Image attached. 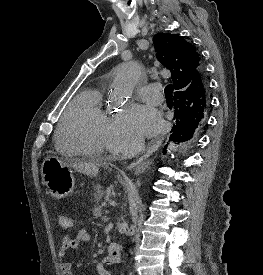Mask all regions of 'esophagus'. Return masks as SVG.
<instances>
[{
	"mask_svg": "<svg viewBox=\"0 0 263 275\" xmlns=\"http://www.w3.org/2000/svg\"><path fill=\"white\" fill-rule=\"evenodd\" d=\"M163 139H164V133H162L158 138L153 140L148 145L146 152L140 158H138L136 161L131 163L128 166V169L129 170L135 169L137 172H140L141 170L145 169L144 160L147 159L148 157H150L158 149V147L161 145Z\"/></svg>",
	"mask_w": 263,
	"mask_h": 275,
	"instance_id": "1",
	"label": "esophagus"
}]
</instances>
